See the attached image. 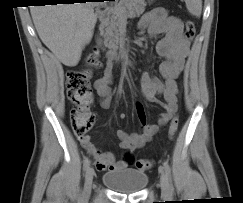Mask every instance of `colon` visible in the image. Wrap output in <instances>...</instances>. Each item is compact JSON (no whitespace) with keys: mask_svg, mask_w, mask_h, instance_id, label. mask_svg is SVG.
Wrapping results in <instances>:
<instances>
[{"mask_svg":"<svg viewBox=\"0 0 243 203\" xmlns=\"http://www.w3.org/2000/svg\"><path fill=\"white\" fill-rule=\"evenodd\" d=\"M184 35L188 41L193 40L196 35L195 25L191 20L185 22ZM88 63L92 66H101L99 54L94 50L88 58ZM91 72L88 69H72L68 71L66 77L67 97L74 104L70 111L71 126L73 133L78 138L87 136L91 129L95 116L89 109L92 98V89L90 85ZM179 127V120L174 117L169 126V135L171 138L175 136ZM126 162L131 161L129 154L125 157ZM153 166V162L148 159H140L136 161L138 170L146 171Z\"/></svg>","mask_w":243,"mask_h":203,"instance_id":"obj_1","label":"colon"}]
</instances>
